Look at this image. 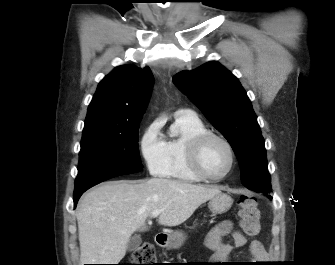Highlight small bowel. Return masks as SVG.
Here are the masks:
<instances>
[{
    "instance_id": "small-bowel-1",
    "label": "small bowel",
    "mask_w": 335,
    "mask_h": 265,
    "mask_svg": "<svg viewBox=\"0 0 335 265\" xmlns=\"http://www.w3.org/2000/svg\"><path fill=\"white\" fill-rule=\"evenodd\" d=\"M231 234L232 241L224 240V236ZM248 239L238 230H235L230 221H223L216 225L208 234L205 244L214 253L213 261L227 260L234 249L246 245ZM250 258L254 261H264L266 252L263 245L257 239H253L249 248Z\"/></svg>"
}]
</instances>
